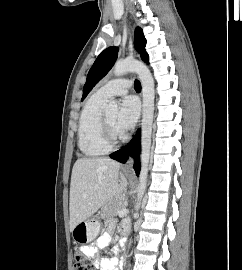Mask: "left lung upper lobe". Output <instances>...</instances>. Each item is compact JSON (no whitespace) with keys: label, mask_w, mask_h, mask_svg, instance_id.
<instances>
[{"label":"left lung upper lobe","mask_w":242,"mask_h":270,"mask_svg":"<svg viewBox=\"0 0 242 270\" xmlns=\"http://www.w3.org/2000/svg\"><path fill=\"white\" fill-rule=\"evenodd\" d=\"M135 47L141 53V58L148 62V54L145 51L146 39L144 38L143 31L141 28L135 30ZM118 48L109 47L99 54L95 60L93 66L89 70L87 80L83 88L82 99H85L91 89L102 79L108 71L112 68L114 62L117 59Z\"/></svg>","instance_id":"left-lung-upper-lobe-1"}]
</instances>
